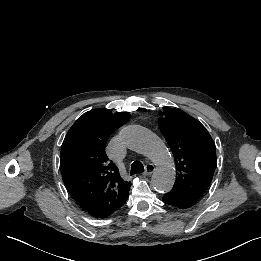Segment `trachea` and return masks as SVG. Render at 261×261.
Returning a JSON list of instances; mask_svg holds the SVG:
<instances>
[{
    "label": "trachea",
    "mask_w": 261,
    "mask_h": 261,
    "mask_svg": "<svg viewBox=\"0 0 261 261\" xmlns=\"http://www.w3.org/2000/svg\"><path fill=\"white\" fill-rule=\"evenodd\" d=\"M144 172V166L140 161H135L131 165L130 175Z\"/></svg>",
    "instance_id": "obj_1"
}]
</instances>
